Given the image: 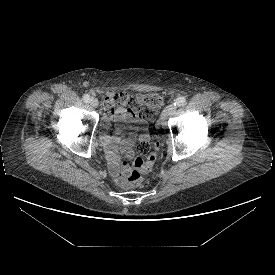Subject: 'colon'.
<instances>
[{
	"instance_id": "1",
	"label": "colon",
	"mask_w": 275,
	"mask_h": 275,
	"mask_svg": "<svg viewBox=\"0 0 275 275\" xmlns=\"http://www.w3.org/2000/svg\"><path fill=\"white\" fill-rule=\"evenodd\" d=\"M163 103V99L158 94H148L143 96L140 102H135V106L141 115L148 120H152L154 110L158 109ZM142 107V108H141ZM157 147V145H156ZM151 149V143L148 137L143 136L137 144V152L146 154ZM156 161V152L151 153L146 159L136 158L133 162V170L126 180L122 182L125 188H135L140 186L144 181V175L150 172Z\"/></svg>"
}]
</instances>
